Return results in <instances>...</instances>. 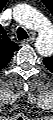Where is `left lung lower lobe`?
Segmentation results:
<instances>
[{
  "mask_svg": "<svg viewBox=\"0 0 53 120\" xmlns=\"http://www.w3.org/2000/svg\"><path fill=\"white\" fill-rule=\"evenodd\" d=\"M47 63H48V60H47ZM45 64V63H44ZM46 67H49V63H48V66H46Z\"/></svg>",
  "mask_w": 53,
  "mask_h": 120,
  "instance_id": "1",
  "label": "left lung lower lobe"
}]
</instances>
